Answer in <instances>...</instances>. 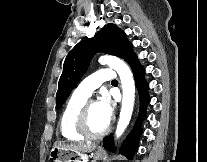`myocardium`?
Segmentation results:
<instances>
[{
	"label": "myocardium",
	"instance_id": "obj_1",
	"mask_svg": "<svg viewBox=\"0 0 207 162\" xmlns=\"http://www.w3.org/2000/svg\"><path fill=\"white\" fill-rule=\"evenodd\" d=\"M95 103H98L96 100L93 99H89L87 100L79 109V111L76 114L75 117V130L77 131L78 134H80L81 136L88 138V139H99L102 138L103 136H105L110 128H111V124L108 123V125L100 132L98 133H92L87 125V117H88V112L89 109L91 108V106Z\"/></svg>",
	"mask_w": 207,
	"mask_h": 162
}]
</instances>
